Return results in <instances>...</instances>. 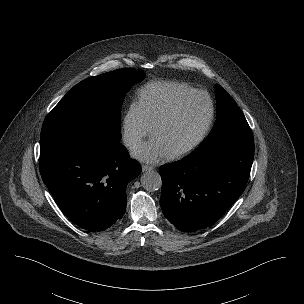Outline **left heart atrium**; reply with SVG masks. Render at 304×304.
<instances>
[{"label":"left heart atrium","mask_w":304,"mask_h":304,"mask_svg":"<svg viewBox=\"0 0 304 304\" xmlns=\"http://www.w3.org/2000/svg\"><path fill=\"white\" fill-rule=\"evenodd\" d=\"M133 156L145 162H157L169 156V152L161 141L153 137L150 141L144 143L133 152Z\"/></svg>","instance_id":"obj_1"}]
</instances>
